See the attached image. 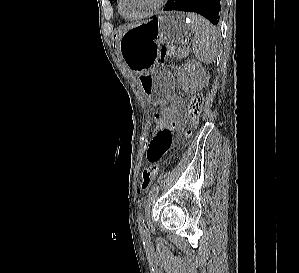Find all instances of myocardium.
Wrapping results in <instances>:
<instances>
[{
  "instance_id": "myocardium-1",
  "label": "myocardium",
  "mask_w": 299,
  "mask_h": 273,
  "mask_svg": "<svg viewBox=\"0 0 299 273\" xmlns=\"http://www.w3.org/2000/svg\"><path fill=\"white\" fill-rule=\"evenodd\" d=\"M122 1L123 0H118V9H119V13L125 17L126 19L129 20H139V19H144L147 17H150L154 14H156L160 9L163 8V6L166 4L167 0H158V2L147 12L138 15V16H127L124 12H123V8H122Z\"/></svg>"
}]
</instances>
